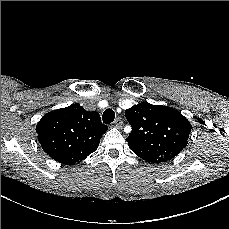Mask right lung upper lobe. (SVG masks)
Masks as SVG:
<instances>
[{
	"mask_svg": "<svg viewBox=\"0 0 229 229\" xmlns=\"http://www.w3.org/2000/svg\"><path fill=\"white\" fill-rule=\"evenodd\" d=\"M108 127L100 115L72 104L45 114L36 126L38 141L55 161L74 165L97 150Z\"/></svg>",
	"mask_w": 229,
	"mask_h": 229,
	"instance_id": "right-lung-upper-lobe-1",
	"label": "right lung upper lobe"
}]
</instances>
